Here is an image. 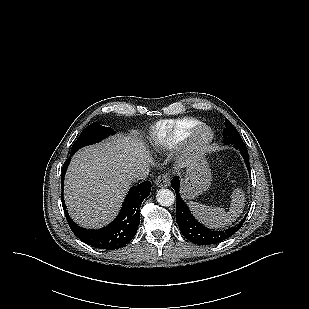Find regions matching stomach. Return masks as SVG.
<instances>
[{
	"instance_id": "stomach-1",
	"label": "stomach",
	"mask_w": 309,
	"mask_h": 309,
	"mask_svg": "<svg viewBox=\"0 0 309 309\" xmlns=\"http://www.w3.org/2000/svg\"><path fill=\"white\" fill-rule=\"evenodd\" d=\"M181 192L187 199H193L207 191L211 185V170L202 151L195 152L187 163Z\"/></svg>"
}]
</instances>
